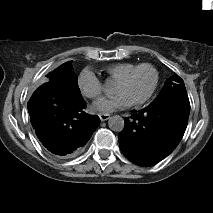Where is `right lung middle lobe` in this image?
<instances>
[{
	"label": "right lung middle lobe",
	"mask_w": 213,
	"mask_h": 213,
	"mask_svg": "<svg viewBox=\"0 0 213 213\" xmlns=\"http://www.w3.org/2000/svg\"><path fill=\"white\" fill-rule=\"evenodd\" d=\"M72 61L66 62L46 75V82H55L64 85L76 92H80L77 85V76L72 72Z\"/></svg>",
	"instance_id": "right-lung-middle-lobe-1"
}]
</instances>
